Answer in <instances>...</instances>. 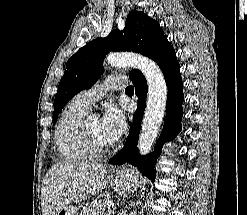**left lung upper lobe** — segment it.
I'll use <instances>...</instances> for the list:
<instances>
[{
  "instance_id": "obj_1",
  "label": "left lung upper lobe",
  "mask_w": 247,
  "mask_h": 215,
  "mask_svg": "<svg viewBox=\"0 0 247 215\" xmlns=\"http://www.w3.org/2000/svg\"><path fill=\"white\" fill-rule=\"evenodd\" d=\"M167 41L157 21L140 11H132L122 31H111L80 48L67 62L54 100L53 123L66 103L81 90L96 83L104 72L103 59L110 51H133L153 58ZM139 70H132L131 78Z\"/></svg>"
}]
</instances>
